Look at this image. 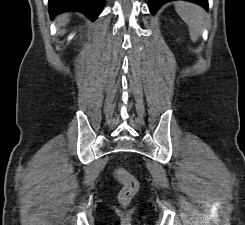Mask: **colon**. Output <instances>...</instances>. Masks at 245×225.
Listing matches in <instances>:
<instances>
[{
	"label": "colon",
	"mask_w": 245,
	"mask_h": 225,
	"mask_svg": "<svg viewBox=\"0 0 245 225\" xmlns=\"http://www.w3.org/2000/svg\"><path fill=\"white\" fill-rule=\"evenodd\" d=\"M115 178L122 186V189L120 190L118 195L119 203L122 206H127L138 194L140 190L139 183L130 173H128L122 167H118L116 169Z\"/></svg>",
	"instance_id": "1"
}]
</instances>
